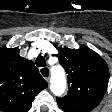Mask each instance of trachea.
I'll return each instance as SVG.
<instances>
[{"instance_id":"1","label":"trachea","mask_w":112,"mask_h":112,"mask_svg":"<svg viewBox=\"0 0 112 112\" xmlns=\"http://www.w3.org/2000/svg\"><path fill=\"white\" fill-rule=\"evenodd\" d=\"M35 63H36V66H37V67H44L45 64H46V61H45V58H44V57L38 56V57L36 58Z\"/></svg>"}]
</instances>
